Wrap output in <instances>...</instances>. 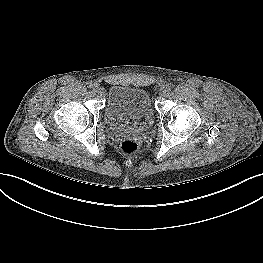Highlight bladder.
I'll return each mask as SVG.
<instances>
[{"instance_id": "obj_1", "label": "bladder", "mask_w": 263, "mask_h": 263, "mask_svg": "<svg viewBox=\"0 0 263 263\" xmlns=\"http://www.w3.org/2000/svg\"><path fill=\"white\" fill-rule=\"evenodd\" d=\"M108 126L115 131H146L154 121L149 95L143 89L112 85L104 109Z\"/></svg>"}]
</instances>
